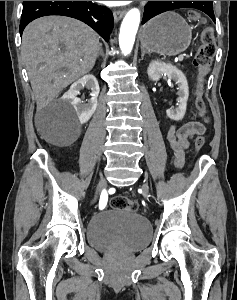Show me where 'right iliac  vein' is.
<instances>
[{
  "label": "right iliac vein",
  "instance_id": "right-iliac-vein-1",
  "mask_svg": "<svg viewBox=\"0 0 237 300\" xmlns=\"http://www.w3.org/2000/svg\"><path fill=\"white\" fill-rule=\"evenodd\" d=\"M105 186V181L103 179H100L98 184H97V187H96V190L97 192L99 193L101 188Z\"/></svg>",
  "mask_w": 237,
  "mask_h": 300
}]
</instances>
